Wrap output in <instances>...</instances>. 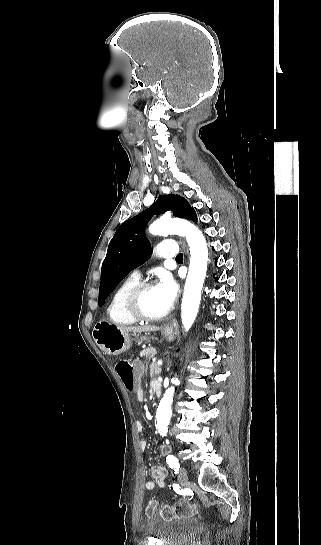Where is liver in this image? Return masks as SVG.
Returning a JSON list of instances; mask_svg holds the SVG:
<instances>
[{
	"label": "liver",
	"instance_id": "liver-1",
	"mask_svg": "<svg viewBox=\"0 0 321 545\" xmlns=\"http://www.w3.org/2000/svg\"><path fill=\"white\" fill-rule=\"evenodd\" d=\"M122 333H145V331H159L155 325H140V327H117Z\"/></svg>",
	"mask_w": 321,
	"mask_h": 545
}]
</instances>
